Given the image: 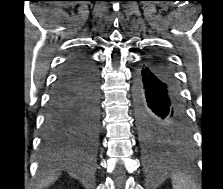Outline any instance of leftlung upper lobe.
Wrapping results in <instances>:
<instances>
[{
    "label": "left lung upper lobe",
    "mask_w": 223,
    "mask_h": 189,
    "mask_svg": "<svg viewBox=\"0 0 223 189\" xmlns=\"http://www.w3.org/2000/svg\"><path fill=\"white\" fill-rule=\"evenodd\" d=\"M149 59L161 60L163 64L173 75L167 61L160 56L152 55ZM174 77V75H173ZM175 78V77H174ZM141 141L145 149L149 152H160L165 151L169 148H180L184 147L187 142L173 136L164 126L159 125L151 128L139 127Z\"/></svg>",
    "instance_id": "1"
}]
</instances>
